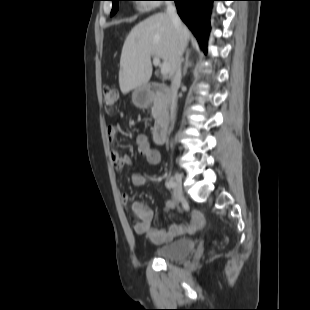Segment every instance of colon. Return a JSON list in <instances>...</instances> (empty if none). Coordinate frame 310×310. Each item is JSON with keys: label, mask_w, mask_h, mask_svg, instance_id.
<instances>
[{"label": "colon", "mask_w": 310, "mask_h": 310, "mask_svg": "<svg viewBox=\"0 0 310 310\" xmlns=\"http://www.w3.org/2000/svg\"><path fill=\"white\" fill-rule=\"evenodd\" d=\"M118 93L116 89L106 86L103 89L102 104L106 109H112L117 103Z\"/></svg>", "instance_id": "colon-1"}]
</instances>
